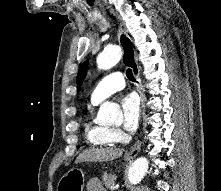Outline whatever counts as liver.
Instances as JSON below:
<instances>
[{"label": "liver", "mask_w": 221, "mask_h": 191, "mask_svg": "<svg viewBox=\"0 0 221 191\" xmlns=\"http://www.w3.org/2000/svg\"><path fill=\"white\" fill-rule=\"evenodd\" d=\"M122 154L123 150L119 148H93L80 153L75 163L110 161L121 157Z\"/></svg>", "instance_id": "1"}]
</instances>
